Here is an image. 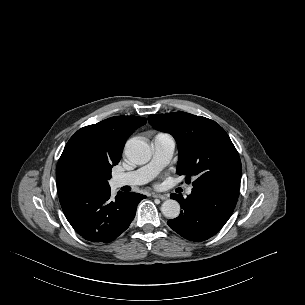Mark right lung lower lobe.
Here are the masks:
<instances>
[{
    "label": "right lung lower lobe",
    "mask_w": 305,
    "mask_h": 305,
    "mask_svg": "<svg viewBox=\"0 0 305 305\" xmlns=\"http://www.w3.org/2000/svg\"><path fill=\"white\" fill-rule=\"evenodd\" d=\"M106 189H82L59 197L64 215L74 230L91 242L108 243L123 233L145 195L119 192L110 198Z\"/></svg>",
    "instance_id": "98d812e1"
}]
</instances>
